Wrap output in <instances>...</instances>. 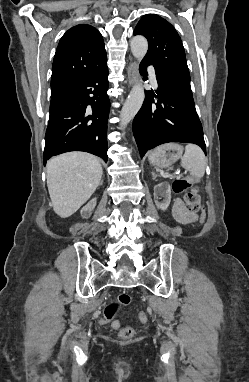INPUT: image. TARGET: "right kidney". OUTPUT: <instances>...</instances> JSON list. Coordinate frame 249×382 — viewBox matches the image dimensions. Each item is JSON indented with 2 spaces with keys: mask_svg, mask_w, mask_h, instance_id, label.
<instances>
[{
  "mask_svg": "<svg viewBox=\"0 0 249 382\" xmlns=\"http://www.w3.org/2000/svg\"><path fill=\"white\" fill-rule=\"evenodd\" d=\"M96 206V198L92 199L87 205H85L81 210V216L83 218H89L92 214V210Z\"/></svg>",
  "mask_w": 249,
  "mask_h": 382,
  "instance_id": "1",
  "label": "right kidney"
}]
</instances>
